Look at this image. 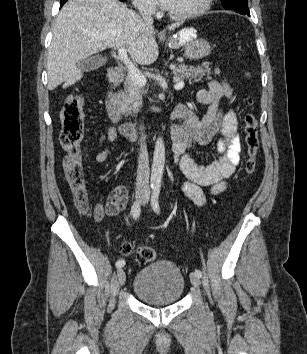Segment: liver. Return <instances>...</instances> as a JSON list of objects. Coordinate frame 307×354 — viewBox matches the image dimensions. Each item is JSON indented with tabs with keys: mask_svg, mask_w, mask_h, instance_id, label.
<instances>
[{
	"mask_svg": "<svg viewBox=\"0 0 307 354\" xmlns=\"http://www.w3.org/2000/svg\"><path fill=\"white\" fill-rule=\"evenodd\" d=\"M121 47H127L132 59L141 65L153 63L159 55L154 28L119 0H69L54 24L47 88L75 84L83 77L78 61L107 48Z\"/></svg>",
	"mask_w": 307,
	"mask_h": 354,
	"instance_id": "1",
	"label": "liver"
}]
</instances>
